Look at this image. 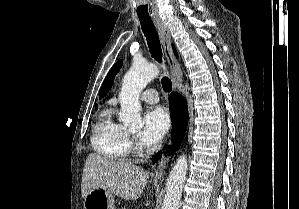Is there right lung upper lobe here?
Instances as JSON below:
<instances>
[{"label": "right lung upper lobe", "mask_w": 299, "mask_h": 209, "mask_svg": "<svg viewBox=\"0 0 299 209\" xmlns=\"http://www.w3.org/2000/svg\"><path fill=\"white\" fill-rule=\"evenodd\" d=\"M173 48H174V47H173ZM174 52H175V55L177 56V52H176L175 48H174ZM96 109H97V106H96Z\"/></svg>", "instance_id": "1"}]
</instances>
